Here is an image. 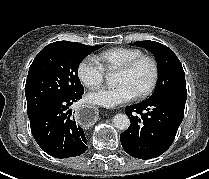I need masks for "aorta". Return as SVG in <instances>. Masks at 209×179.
Instances as JSON below:
<instances>
[{"mask_svg": "<svg viewBox=\"0 0 209 179\" xmlns=\"http://www.w3.org/2000/svg\"><path fill=\"white\" fill-rule=\"evenodd\" d=\"M106 81L110 85L113 83L112 74L106 75ZM112 121H113L114 126L119 130H126L130 126V119L128 118L126 114H116L113 117Z\"/></svg>", "mask_w": 209, "mask_h": 179, "instance_id": "obj_1", "label": "aorta"}]
</instances>
